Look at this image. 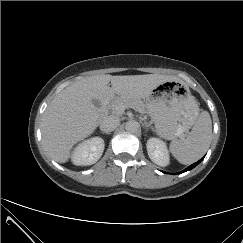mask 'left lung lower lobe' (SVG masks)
<instances>
[{"mask_svg": "<svg viewBox=\"0 0 243 243\" xmlns=\"http://www.w3.org/2000/svg\"><path fill=\"white\" fill-rule=\"evenodd\" d=\"M202 159H203V158H202ZM202 159H200L198 162H196V163L190 165V166L187 167L185 170H183L181 173L193 169L195 166H197V165L202 161ZM163 173H165V172H163Z\"/></svg>", "mask_w": 243, "mask_h": 243, "instance_id": "0a47b994", "label": "left lung lower lobe"}]
</instances>
